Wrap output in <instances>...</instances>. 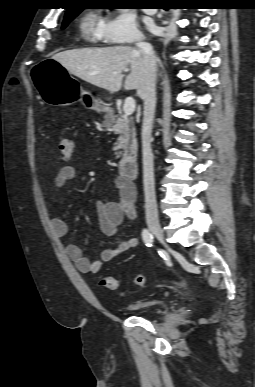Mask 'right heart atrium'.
I'll return each mask as SVG.
<instances>
[{"mask_svg": "<svg viewBox=\"0 0 255 387\" xmlns=\"http://www.w3.org/2000/svg\"><path fill=\"white\" fill-rule=\"evenodd\" d=\"M143 38L135 17L127 10H118L104 23L102 39L107 44H133Z\"/></svg>", "mask_w": 255, "mask_h": 387, "instance_id": "1", "label": "right heart atrium"}]
</instances>
